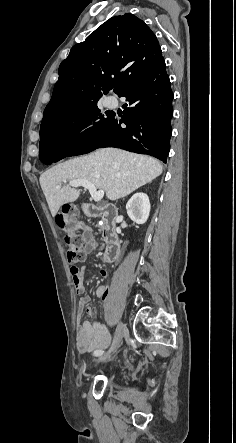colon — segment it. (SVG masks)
I'll return each instance as SVG.
<instances>
[{
    "label": "colon",
    "instance_id": "obj_1",
    "mask_svg": "<svg viewBox=\"0 0 236 443\" xmlns=\"http://www.w3.org/2000/svg\"><path fill=\"white\" fill-rule=\"evenodd\" d=\"M71 209H63L56 216L59 225L65 228L64 242L66 245V258L71 264L82 262L85 259L83 241L80 231L83 229L82 223L72 219ZM76 267V266H72Z\"/></svg>",
    "mask_w": 236,
    "mask_h": 443
}]
</instances>
